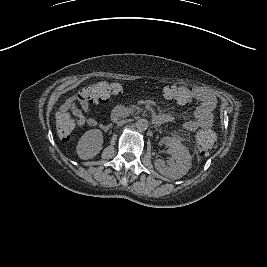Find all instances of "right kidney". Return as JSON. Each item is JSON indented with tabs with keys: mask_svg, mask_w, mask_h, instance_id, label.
I'll use <instances>...</instances> for the list:
<instances>
[{
	"mask_svg": "<svg viewBox=\"0 0 267 267\" xmlns=\"http://www.w3.org/2000/svg\"><path fill=\"white\" fill-rule=\"evenodd\" d=\"M102 144V131L100 129L88 130L78 141L76 153L80 159H92L102 150Z\"/></svg>",
	"mask_w": 267,
	"mask_h": 267,
	"instance_id": "obj_1",
	"label": "right kidney"
}]
</instances>
